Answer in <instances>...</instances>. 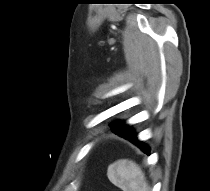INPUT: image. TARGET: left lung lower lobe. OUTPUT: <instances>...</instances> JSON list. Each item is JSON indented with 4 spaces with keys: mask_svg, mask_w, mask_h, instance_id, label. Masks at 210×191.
Wrapping results in <instances>:
<instances>
[{
    "mask_svg": "<svg viewBox=\"0 0 210 191\" xmlns=\"http://www.w3.org/2000/svg\"><path fill=\"white\" fill-rule=\"evenodd\" d=\"M122 137H124L125 139L131 141L136 146H138L144 153L149 155V148L146 145L142 144V142L137 140V137H136L134 132L128 133L126 135H123Z\"/></svg>",
    "mask_w": 210,
    "mask_h": 191,
    "instance_id": "0a47b994",
    "label": "left lung lower lobe"
}]
</instances>
